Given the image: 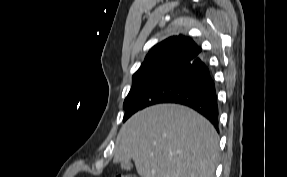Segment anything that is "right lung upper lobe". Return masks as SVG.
Here are the masks:
<instances>
[{"label": "right lung upper lobe", "instance_id": "cb5924a9", "mask_svg": "<svg viewBox=\"0 0 287 177\" xmlns=\"http://www.w3.org/2000/svg\"><path fill=\"white\" fill-rule=\"evenodd\" d=\"M200 53L201 48L189 37L184 35L173 36L155 45L147 54L140 68L166 59H178L181 63L191 62L200 56Z\"/></svg>", "mask_w": 287, "mask_h": 177}]
</instances>
